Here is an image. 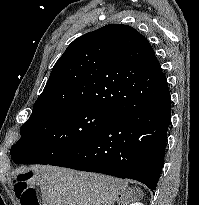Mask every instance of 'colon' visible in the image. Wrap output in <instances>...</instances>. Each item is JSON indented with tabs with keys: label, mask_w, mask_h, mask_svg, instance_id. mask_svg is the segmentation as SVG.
Here are the masks:
<instances>
[{
	"label": "colon",
	"mask_w": 199,
	"mask_h": 205,
	"mask_svg": "<svg viewBox=\"0 0 199 205\" xmlns=\"http://www.w3.org/2000/svg\"><path fill=\"white\" fill-rule=\"evenodd\" d=\"M31 175L20 174L14 179V192L21 205H39L35 190L30 186Z\"/></svg>",
	"instance_id": "obj_1"
}]
</instances>
